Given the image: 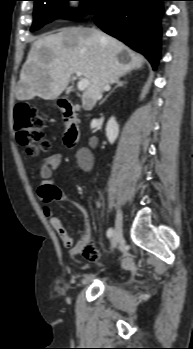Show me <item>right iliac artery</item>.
I'll list each match as a JSON object with an SVG mask.
<instances>
[{
	"label": "right iliac artery",
	"instance_id": "right-iliac-artery-1",
	"mask_svg": "<svg viewBox=\"0 0 193 349\" xmlns=\"http://www.w3.org/2000/svg\"><path fill=\"white\" fill-rule=\"evenodd\" d=\"M113 234V229L112 228H109L108 231H107V237L110 238Z\"/></svg>",
	"mask_w": 193,
	"mask_h": 349
}]
</instances>
